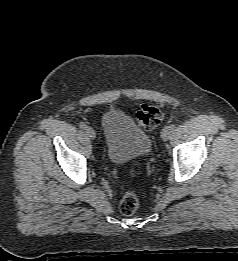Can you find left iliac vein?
<instances>
[{"instance_id":"4c4485c4","label":"left iliac vein","mask_w":238,"mask_h":261,"mask_svg":"<svg viewBox=\"0 0 238 261\" xmlns=\"http://www.w3.org/2000/svg\"><path fill=\"white\" fill-rule=\"evenodd\" d=\"M172 130L170 126H166L161 132V138L163 141H167L171 136Z\"/></svg>"}]
</instances>
